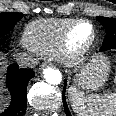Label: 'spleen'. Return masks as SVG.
Here are the masks:
<instances>
[{
    "label": "spleen",
    "instance_id": "1",
    "mask_svg": "<svg viewBox=\"0 0 116 116\" xmlns=\"http://www.w3.org/2000/svg\"><path fill=\"white\" fill-rule=\"evenodd\" d=\"M68 96L77 116H116V91L85 95L75 87H70Z\"/></svg>",
    "mask_w": 116,
    "mask_h": 116
}]
</instances>
